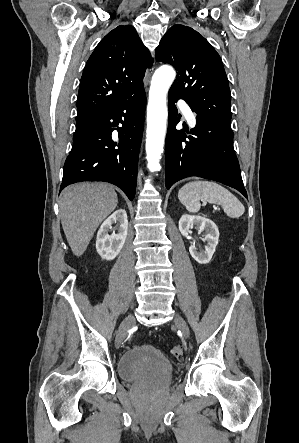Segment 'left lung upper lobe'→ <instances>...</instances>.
<instances>
[{
    "instance_id": "left-lung-upper-lobe-1",
    "label": "left lung upper lobe",
    "mask_w": 299,
    "mask_h": 443,
    "mask_svg": "<svg viewBox=\"0 0 299 443\" xmlns=\"http://www.w3.org/2000/svg\"><path fill=\"white\" fill-rule=\"evenodd\" d=\"M156 60L177 70L169 93L185 100L191 109L231 127V95L222 60L197 31L172 26L156 49Z\"/></svg>"
}]
</instances>
